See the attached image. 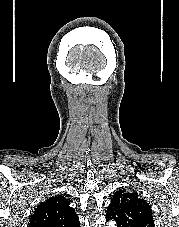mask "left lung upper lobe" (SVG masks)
<instances>
[{"mask_svg": "<svg viewBox=\"0 0 179 227\" xmlns=\"http://www.w3.org/2000/svg\"><path fill=\"white\" fill-rule=\"evenodd\" d=\"M106 220H114L117 227H155L149 203L137 193L123 190L113 195Z\"/></svg>", "mask_w": 179, "mask_h": 227, "instance_id": "obj_1", "label": "left lung upper lobe"}]
</instances>
